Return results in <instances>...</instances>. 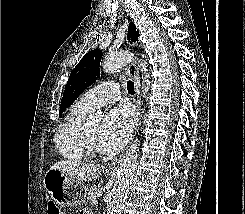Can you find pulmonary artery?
<instances>
[{
    "mask_svg": "<svg viewBox=\"0 0 245 214\" xmlns=\"http://www.w3.org/2000/svg\"><path fill=\"white\" fill-rule=\"evenodd\" d=\"M120 98L119 86L115 81L103 82L84 93L80 102L89 109L101 107Z\"/></svg>",
    "mask_w": 245,
    "mask_h": 214,
    "instance_id": "1",
    "label": "pulmonary artery"
}]
</instances>
